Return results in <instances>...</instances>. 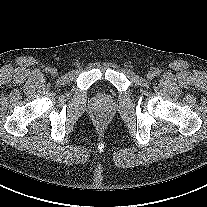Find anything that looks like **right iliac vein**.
Returning <instances> with one entry per match:
<instances>
[{
	"mask_svg": "<svg viewBox=\"0 0 207 207\" xmlns=\"http://www.w3.org/2000/svg\"><path fill=\"white\" fill-rule=\"evenodd\" d=\"M51 74H52V76H56L58 74L57 69H55V68L51 69Z\"/></svg>",
	"mask_w": 207,
	"mask_h": 207,
	"instance_id": "right-iliac-vein-1",
	"label": "right iliac vein"
}]
</instances>
